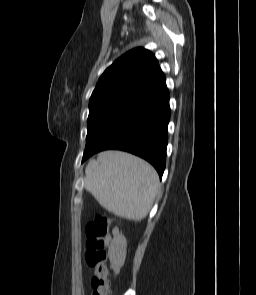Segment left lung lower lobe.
<instances>
[{"instance_id":"obj_1","label":"left lung lower lobe","mask_w":256,"mask_h":295,"mask_svg":"<svg viewBox=\"0 0 256 295\" xmlns=\"http://www.w3.org/2000/svg\"><path fill=\"white\" fill-rule=\"evenodd\" d=\"M169 118V92L165 88L123 118L96 143L85 148L82 162L100 151L123 150L150 162L161 178L165 169Z\"/></svg>"}]
</instances>
